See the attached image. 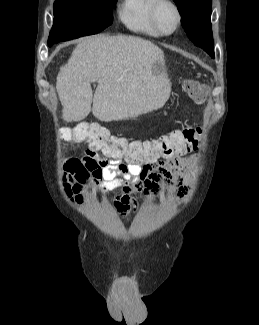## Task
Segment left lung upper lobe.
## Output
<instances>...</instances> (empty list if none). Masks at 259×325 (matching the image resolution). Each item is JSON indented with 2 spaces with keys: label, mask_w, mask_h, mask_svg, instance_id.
Returning a JSON list of instances; mask_svg holds the SVG:
<instances>
[{
  "label": "left lung upper lobe",
  "mask_w": 259,
  "mask_h": 325,
  "mask_svg": "<svg viewBox=\"0 0 259 325\" xmlns=\"http://www.w3.org/2000/svg\"><path fill=\"white\" fill-rule=\"evenodd\" d=\"M183 19L182 26L193 43L214 57L211 30L212 0H174Z\"/></svg>",
  "instance_id": "left-lung-upper-lobe-1"
}]
</instances>
